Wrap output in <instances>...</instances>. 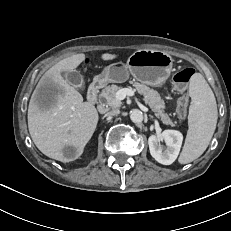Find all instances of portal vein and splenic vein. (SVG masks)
<instances>
[{"label": "portal vein and splenic vein", "mask_w": 231, "mask_h": 231, "mask_svg": "<svg viewBox=\"0 0 231 231\" xmlns=\"http://www.w3.org/2000/svg\"><path fill=\"white\" fill-rule=\"evenodd\" d=\"M135 91L132 88H122L116 92L115 98L119 101L124 100L126 96H134Z\"/></svg>", "instance_id": "18ae733b"}]
</instances>
